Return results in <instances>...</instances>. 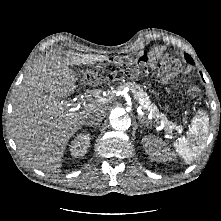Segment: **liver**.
Returning a JSON list of instances; mask_svg holds the SVG:
<instances>
[{"label": "liver", "mask_w": 221, "mask_h": 221, "mask_svg": "<svg viewBox=\"0 0 221 221\" xmlns=\"http://www.w3.org/2000/svg\"><path fill=\"white\" fill-rule=\"evenodd\" d=\"M107 56L72 51L64 55L51 50L36 61L18 86L11 133L19 154L29 165L57 173L71 137L85 124L93 110L105 115L106 101L81 109L63 101L77 89L71 67L94 64Z\"/></svg>", "instance_id": "obj_1"}]
</instances>
